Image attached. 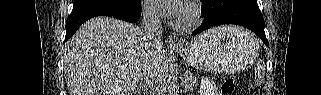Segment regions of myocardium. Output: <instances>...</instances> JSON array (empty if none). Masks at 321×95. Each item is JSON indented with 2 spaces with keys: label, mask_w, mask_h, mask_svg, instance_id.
<instances>
[{
  "label": "myocardium",
  "mask_w": 321,
  "mask_h": 95,
  "mask_svg": "<svg viewBox=\"0 0 321 95\" xmlns=\"http://www.w3.org/2000/svg\"><path fill=\"white\" fill-rule=\"evenodd\" d=\"M201 20V9L195 2H190L184 8L183 13L174 20L175 29L187 32L191 31L199 24Z\"/></svg>",
  "instance_id": "obj_1"
}]
</instances>
